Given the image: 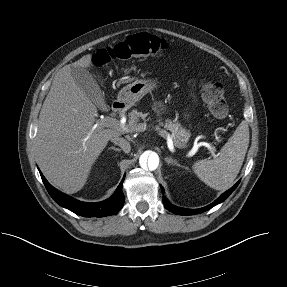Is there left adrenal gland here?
Returning <instances> with one entry per match:
<instances>
[{
	"label": "left adrenal gland",
	"mask_w": 287,
	"mask_h": 287,
	"mask_svg": "<svg viewBox=\"0 0 287 287\" xmlns=\"http://www.w3.org/2000/svg\"><path fill=\"white\" fill-rule=\"evenodd\" d=\"M165 162H166L168 165H176V166H179V167H183V166H181L176 160L172 159L171 157H166V158H165Z\"/></svg>",
	"instance_id": "obj_1"
}]
</instances>
